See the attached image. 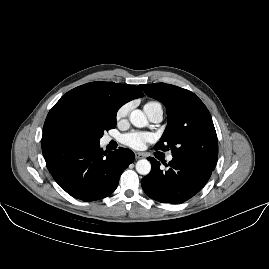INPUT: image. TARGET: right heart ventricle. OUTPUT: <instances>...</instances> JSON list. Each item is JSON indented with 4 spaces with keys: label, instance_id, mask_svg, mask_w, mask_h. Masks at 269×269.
Returning a JSON list of instances; mask_svg holds the SVG:
<instances>
[{
    "label": "right heart ventricle",
    "instance_id": "right-heart-ventricle-1",
    "mask_svg": "<svg viewBox=\"0 0 269 269\" xmlns=\"http://www.w3.org/2000/svg\"><path fill=\"white\" fill-rule=\"evenodd\" d=\"M155 103H157V102H153V101H151V102H147V103L145 104L144 108L147 107V106H149V105H153V104H155Z\"/></svg>",
    "mask_w": 269,
    "mask_h": 269
}]
</instances>
